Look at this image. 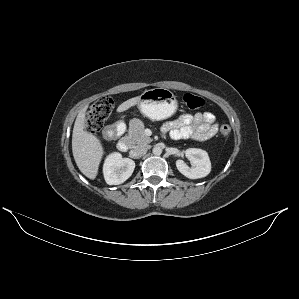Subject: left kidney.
Masks as SVG:
<instances>
[{"label":"left kidney","instance_id":"5707ae66","mask_svg":"<svg viewBox=\"0 0 299 299\" xmlns=\"http://www.w3.org/2000/svg\"><path fill=\"white\" fill-rule=\"evenodd\" d=\"M186 157L193 167H189L183 160L176 161L178 171L189 179L206 177L211 171V162L208 153L202 149L189 148L185 151Z\"/></svg>","mask_w":299,"mask_h":299}]
</instances>
